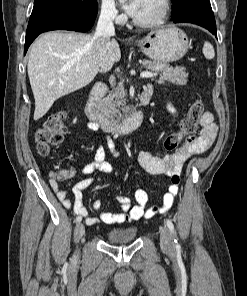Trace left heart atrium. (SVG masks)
<instances>
[{"instance_id": "obj_1", "label": "left heart atrium", "mask_w": 247, "mask_h": 296, "mask_svg": "<svg viewBox=\"0 0 247 296\" xmlns=\"http://www.w3.org/2000/svg\"><path fill=\"white\" fill-rule=\"evenodd\" d=\"M143 0H126L124 3V8L129 15L135 17L142 5Z\"/></svg>"}]
</instances>
